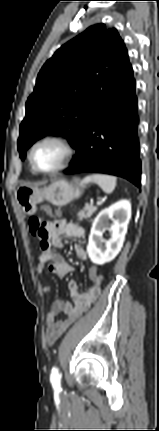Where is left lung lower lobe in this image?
<instances>
[{
	"mask_svg": "<svg viewBox=\"0 0 159 431\" xmlns=\"http://www.w3.org/2000/svg\"><path fill=\"white\" fill-rule=\"evenodd\" d=\"M136 83L132 67L89 121L66 174L106 173L140 187Z\"/></svg>",
	"mask_w": 159,
	"mask_h": 431,
	"instance_id": "obj_1",
	"label": "left lung lower lobe"
}]
</instances>
